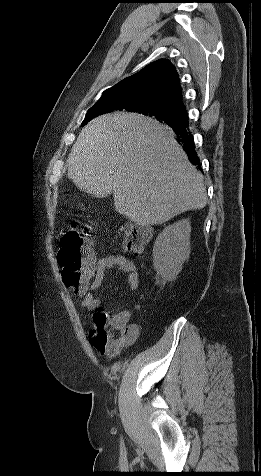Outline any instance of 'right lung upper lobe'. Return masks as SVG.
I'll return each instance as SVG.
<instances>
[{
	"label": "right lung upper lobe",
	"instance_id": "right-lung-upper-lobe-1",
	"mask_svg": "<svg viewBox=\"0 0 261 476\" xmlns=\"http://www.w3.org/2000/svg\"><path fill=\"white\" fill-rule=\"evenodd\" d=\"M121 96L122 106L143 102H160L186 112L176 68L166 59L147 65L139 72L107 89L103 97ZM100 98V99H101Z\"/></svg>",
	"mask_w": 261,
	"mask_h": 476
}]
</instances>
